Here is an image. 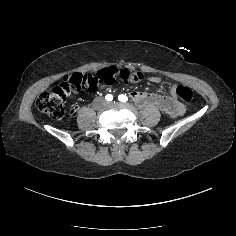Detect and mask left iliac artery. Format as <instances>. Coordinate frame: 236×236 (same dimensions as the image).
<instances>
[{
	"mask_svg": "<svg viewBox=\"0 0 236 236\" xmlns=\"http://www.w3.org/2000/svg\"><path fill=\"white\" fill-rule=\"evenodd\" d=\"M118 100L121 102H126L128 100V98L126 95L121 94L118 96Z\"/></svg>",
	"mask_w": 236,
	"mask_h": 236,
	"instance_id": "44dca946",
	"label": "left iliac artery"
}]
</instances>
